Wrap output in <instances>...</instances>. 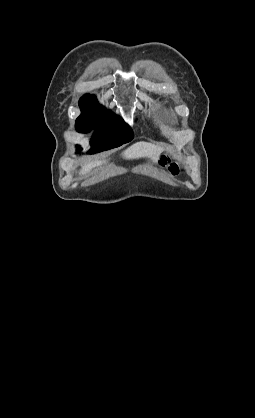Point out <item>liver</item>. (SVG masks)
I'll use <instances>...</instances> for the list:
<instances>
[{"instance_id":"1","label":"liver","mask_w":255,"mask_h":418,"mask_svg":"<svg viewBox=\"0 0 255 418\" xmlns=\"http://www.w3.org/2000/svg\"><path fill=\"white\" fill-rule=\"evenodd\" d=\"M163 147L147 143V142H137L123 151L122 156L125 159H139L143 157H149L152 159L153 162H157L160 154L163 152ZM102 161H96L92 163H88L82 166L80 173L82 175L90 172V170L96 166L101 165Z\"/></svg>"}]
</instances>
